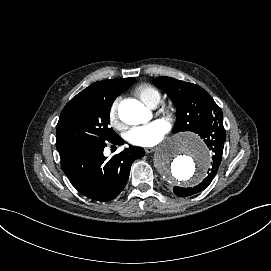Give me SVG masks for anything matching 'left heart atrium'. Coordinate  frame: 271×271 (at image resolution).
Returning <instances> with one entry per match:
<instances>
[{
  "instance_id": "1",
  "label": "left heart atrium",
  "mask_w": 271,
  "mask_h": 271,
  "mask_svg": "<svg viewBox=\"0 0 271 271\" xmlns=\"http://www.w3.org/2000/svg\"><path fill=\"white\" fill-rule=\"evenodd\" d=\"M169 131V124L163 119L154 120L144 126L133 128L128 134L130 143L151 147L159 144Z\"/></svg>"
}]
</instances>
